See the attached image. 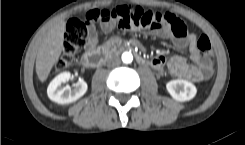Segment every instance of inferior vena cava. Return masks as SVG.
<instances>
[{"mask_svg": "<svg viewBox=\"0 0 245 145\" xmlns=\"http://www.w3.org/2000/svg\"><path fill=\"white\" fill-rule=\"evenodd\" d=\"M108 64L111 66H117L120 64V59L118 57H114L109 60Z\"/></svg>", "mask_w": 245, "mask_h": 145, "instance_id": "inferior-vena-cava-1", "label": "inferior vena cava"}]
</instances>
